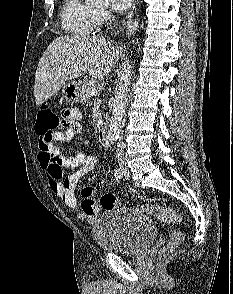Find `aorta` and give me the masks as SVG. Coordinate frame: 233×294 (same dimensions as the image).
Here are the masks:
<instances>
[{"mask_svg": "<svg viewBox=\"0 0 233 294\" xmlns=\"http://www.w3.org/2000/svg\"><path fill=\"white\" fill-rule=\"evenodd\" d=\"M108 0H86L87 3L93 5H102ZM132 76V63L127 60L118 77L117 86L115 89V98L112 109V115L108 130V137L111 140H117L122 129V119L125 113L127 93Z\"/></svg>", "mask_w": 233, "mask_h": 294, "instance_id": "obj_1", "label": "aorta"}]
</instances>
